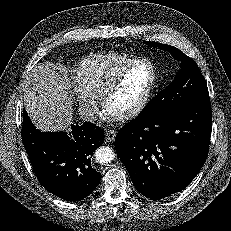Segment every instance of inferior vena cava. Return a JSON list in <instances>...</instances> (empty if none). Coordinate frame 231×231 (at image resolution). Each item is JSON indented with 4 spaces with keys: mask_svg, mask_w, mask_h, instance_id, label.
Returning a JSON list of instances; mask_svg holds the SVG:
<instances>
[{
    "mask_svg": "<svg viewBox=\"0 0 231 231\" xmlns=\"http://www.w3.org/2000/svg\"><path fill=\"white\" fill-rule=\"evenodd\" d=\"M80 118L84 121L93 122L96 120L95 111L89 106H82L79 108Z\"/></svg>",
    "mask_w": 231,
    "mask_h": 231,
    "instance_id": "inferior-vena-cava-1",
    "label": "inferior vena cava"
}]
</instances>
